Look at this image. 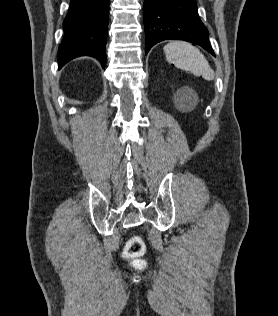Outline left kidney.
I'll list each match as a JSON object with an SVG mask.
<instances>
[{
	"label": "left kidney",
	"instance_id": "obj_1",
	"mask_svg": "<svg viewBox=\"0 0 278 316\" xmlns=\"http://www.w3.org/2000/svg\"><path fill=\"white\" fill-rule=\"evenodd\" d=\"M193 95H194L193 90L188 87L182 88L178 91L179 97L189 98V97H192Z\"/></svg>",
	"mask_w": 278,
	"mask_h": 316
}]
</instances>
